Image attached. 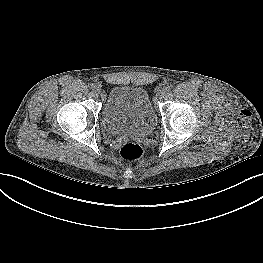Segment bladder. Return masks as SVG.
<instances>
[{"label": "bladder", "mask_w": 263, "mask_h": 263, "mask_svg": "<svg viewBox=\"0 0 263 263\" xmlns=\"http://www.w3.org/2000/svg\"><path fill=\"white\" fill-rule=\"evenodd\" d=\"M156 115L145 90L114 85L108 92L102 111V125L113 135H148L154 129Z\"/></svg>", "instance_id": "31cf9c89"}]
</instances>
